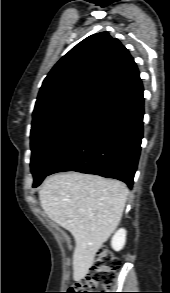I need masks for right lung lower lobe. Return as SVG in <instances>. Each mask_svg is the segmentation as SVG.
Masks as SVG:
<instances>
[{"label": "right lung lower lobe", "instance_id": "98d812e1", "mask_svg": "<svg viewBox=\"0 0 170 293\" xmlns=\"http://www.w3.org/2000/svg\"><path fill=\"white\" fill-rule=\"evenodd\" d=\"M143 86L105 106L85 134L48 175L77 171L133 185L143 137Z\"/></svg>", "mask_w": 170, "mask_h": 293}]
</instances>
